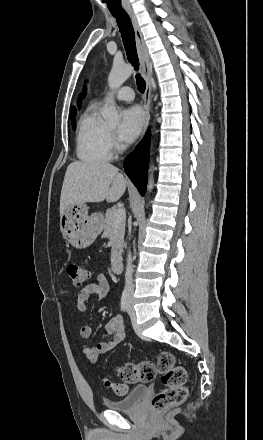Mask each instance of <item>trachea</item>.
Instances as JSON below:
<instances>
[{"label": "trachea", "instance_id": "trachea-1", "mask_svg": "<svg viewBox=\"0 0 263 440\" xmlns=\"http://www.w3.org/2000/svg\"><path fill=\"white\" fill-rule=\"evenodd\" d=\"M112 15L117 19L118 27L121 33L122 41L126 50L127 58L135 70L139 68V60L135 44V33L129 16L126 12H113ZM136 84L140 93H144L146 82L140 74H136Z\"/></svg>", "mask_w": 263, "mask_h": 440}]
</instances>
